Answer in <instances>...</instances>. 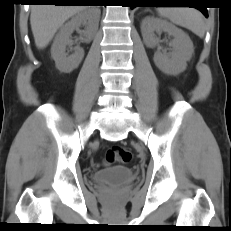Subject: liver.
Wrapping results in <instances>:
<instances>
[{
    "label": "liver",
    "instance_id": "liver-1",
    "mask_svg": "<svg viewBox=\"0 0 231 231\" xmlns=\"http://www.w3.org/2000/svg\"><path fill=\"white\" fill-rule=\"evenodd\" d=\"M86 9L81 5H33L30 24L37 48H45L65 21Z\"/></svg>",
    "mask_w": 231,
    "mask_h": 231
}]
</instances>
